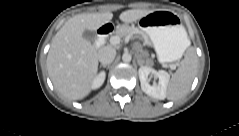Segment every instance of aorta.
Segmentation results:
<instances>
[{
  "instance_id": "obj_1",
  "label": "aorta",
  "mask_w": 239,
  "mask_h": 136,
  "mask_svg": "<svg viewBox=\"0 0 239 136\" xmlns=\"http://www.w3.org/2000/svg\"><path fill=\"white\" fill-rule=\"evenodd\" d=\"M131 59H132V56H131V54L128 53V52H125V53L122 55V60H123V62L128 63V62L131 61Z\"/></svg>"
}]
</instances>
